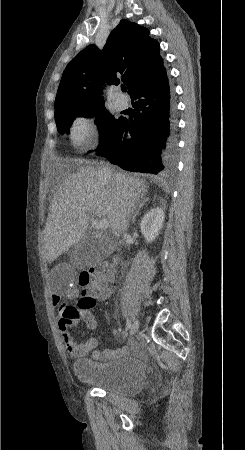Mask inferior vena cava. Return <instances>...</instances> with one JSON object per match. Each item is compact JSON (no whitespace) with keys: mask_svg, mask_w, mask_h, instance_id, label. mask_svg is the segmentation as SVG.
Instances as JSON below:
<instances>
[{"mask_svg":"<svg viewBox=\"0 0 245 450\" xmlns=\"http://www.w3.org/2000/svg\"><path fill=\"white\" fill-rule=\"evenodd\" d=\"M100 174L105 178H110L112 176V172L109 168L103 167L100 169Z\"/></svg>","mask_w":245,"mask_h":450,"instance_id":"602c4592","label":"inferior vena cava"}]
</instances>
